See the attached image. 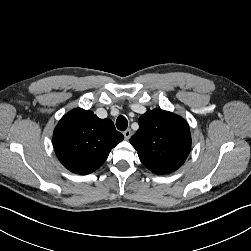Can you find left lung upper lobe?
I'll use <instances>...</instances> for the list:
<instances>
[{
    "mask_svg": "<svg viewBox=\"0 0 251 251\" xmlns=\"http://www.w3.org/2000/svg\"><path fill=\"white\" fill-rule=\"evenodd\" d=\"M130 143L143 165L158 175L169 174L185 162L191 150L188 123L169 111L149 110L139 120Z\"/></svg>",
    "mask_w": 251,
    "mask_h": 251,
    "instance_id": "left-lung-upper-lobe-1",
    "label": "left lung upper lobe"
}]
</instances>
